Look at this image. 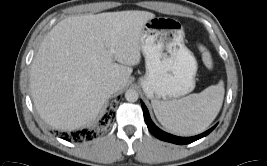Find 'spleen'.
<instances>
[{
    "mask_svg": "<svg viewBox=\"0 0 267 166\" xmlns=\"http://www.w3.org/2000/svg\"><path fill=\"white\" fill-rule=\"evenodd\" d=\"M224 85L220 81L198 94L172 101H152L157 120L163 127L178 135L203 132L218 115L224 98Z\"/></svg>",
    "mask_w": 267,
    "mask_h": 166,
    "instance_id": "spleen-1",
    "label": "spleen"
}]
</instances>
